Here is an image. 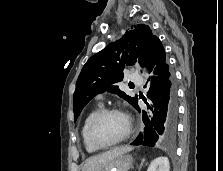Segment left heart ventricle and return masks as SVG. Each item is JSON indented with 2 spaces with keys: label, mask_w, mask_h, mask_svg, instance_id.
<instances>
[{
  "label": "left heart ventricle",
  "mask_w": 223,
  "mask_h": 171,
  "mask_svg": "<svg viewBox=\"0 0 223 171\" xmlns=\"http://www.w3.org/2000/svg\"><path fill=\"white\" fill-rule=\"evenodd\" d=\"M127 129L126 120L118 114L103 117L95 128V137L101 143H112L121 138Z\"/></svg>",
  "instance_id": "b2bd125f"
}]
</instances>
